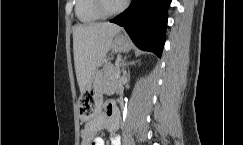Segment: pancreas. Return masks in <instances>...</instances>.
I'll return each instance as SVG.
<instances>
[{"label": "pancreas", "instance_id": "pancreas-1", "mask_svg": "<svg viewBox=\"0 0 243 145\" xmlns=\"http://www.w3.org/2000/svg\"><path fill=\"white\" fill-rule=\"evenodd\" d=\"M104 74L105 77L110 81L113 88H116L118 82V74H119L118 71L114 67L110 65H106Z\"/></svg>", "mask_w": 243, "mask_h": 145}]
</instances>
